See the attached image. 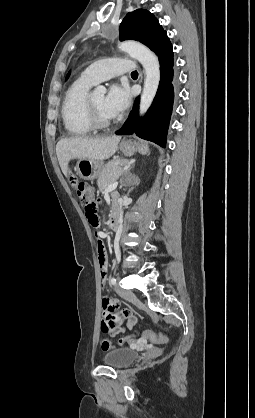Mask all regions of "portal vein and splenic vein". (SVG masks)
Here are the masks:
<instances>
[{"instance_id": "portal-vein-and-splenic-vein-1", "label": "portal vein and splenic vein", "mask_w": 255, "mask_h": 418, "mask_svg": "<svg viewBox=\"0 0 255 418\" xmlns=\"http://www.w3.org/2000/svg\"><path fill=\"white\" fill-rule=\"evenodd\" d=\"M117 186H118V182L117 181H115V182H113L112 184H110L106 189H105V193H108V192H111V191H113V190H115L116 188H117Z\"/></svg>"}]
</instances>
